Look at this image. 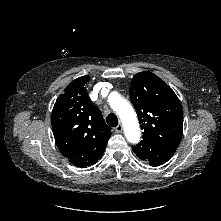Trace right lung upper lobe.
I'll list each match as a JSON object with an SVG mask.
<instances>
[{"mask_svg": "<svg viewBox=\"0 0 221 221\" xmlns=\"http://www.w3.org/2000/svg\"><path fill=\"white\" fill-rule=\"evenodd\" d=\"M82 76L71 82L54 105L51 122L57 147L72 164L86 168L104 153L111 136L101 111L92 103Z\"/></svg>", "mask_w": 221, "mask_h": 221, "instance_id": "1", "label": "right lung upper lobe"}]
</instances>
